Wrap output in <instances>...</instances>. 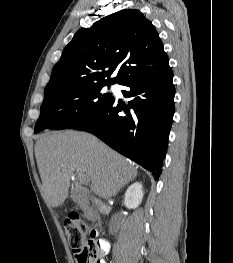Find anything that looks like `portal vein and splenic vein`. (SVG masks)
<instances>
[{
	"label": "portal vein and splenic vein",
	"instance_id": "portal-vein-and-splenic-vein-1",
	"mask_svg": "<svg viewBox=\"0 0 233 263\" xmlns=\"http://www.w3.org/2000/svg\"><path fill=\"white\" fill-rule=\"evenodd\" d=\"M77 178L79 180L80 183L82 184H89L90 183V178L88 176H86V174L82 173V172H77Z\"/></svg>",
	"mask_w": 233,
	"mask_h": 263
}]
</instances>
